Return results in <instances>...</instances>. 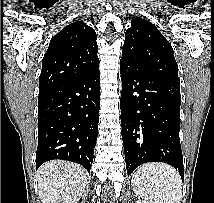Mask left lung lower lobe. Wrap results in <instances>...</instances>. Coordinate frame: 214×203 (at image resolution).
Returning a JSON list of instances; mask_svg holds the SVG:
<instances>
[{
  "label": "left lung lower lobe",
  "instance_id": "left-lung-lower-lobe-1",
  "mask_svg": "<svg viewBox=\"0 0 214 203\" xmlns=\"http://www.w3.org/2000/svg\"><path fill=\"white\" fill-rule=\"evenodd\" d=\"M122 140L130 175L139 165L164 162L179 171L180 83L120 60Z\"/></svg>",
  "mask_w": 214,
  "mask_h": 203
}]
</instances>
